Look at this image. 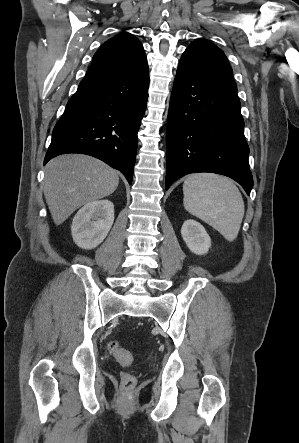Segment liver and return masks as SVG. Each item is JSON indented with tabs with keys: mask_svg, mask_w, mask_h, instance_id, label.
I'll return each mask as SVG.
<instances>
[{
	"mask_svg": "<svg viewBox=\"0 0 299 443\" xmlns=\"http://www.w3.org/2000/svg\"><path fill=\"white\" fill-rule=\"evenodd\" d=\"M118 173L83 154H64L45 166L43 192L54 223L62 224L75 210L112 194Z\"/></svg>",
	"mask_w": 299,
	"mask_h": 443,
	"instance_id": "liver-1",
	"label": "liver"
}]
</instances>
